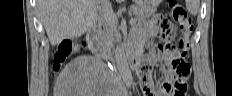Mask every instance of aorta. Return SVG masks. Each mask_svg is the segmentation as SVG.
<instances>
[{"instance_id":"aorta-1","label":"aorta","mask_w":232,"mask_h":96,"mask_svg":"<svg viewBox=\"0 0 232 96\" xmlns=\"http://www.w3.org/2000/svg\"><path fill=\"white\" fill-rule=\"evenodd\" d=\"M115 57L119 71L125 75H129L130 70L123 46L117 48Z\"/></svg>"}]
</instances>
